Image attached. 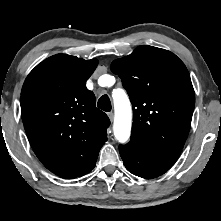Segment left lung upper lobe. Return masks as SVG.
Segmentation results:
<instances>
[{
	"instance_id": "1",
	"label": "left lung upper lobe",
	"mask_w": 221,
	"mask_h": 221,
	"mask_svg": "<svg viewBox=\"0 0 221 221\" xmlns=\"http://www.w3.org/2000/svg\"><path fill=\"white\" fill-rule=\"evenodd\" d=\"M110 68L121 78L133 106L129 143L149 154L176 159L195 105L184 63L170 51L143 45L114 60Z\"/></svg>"
}]
</instances>
